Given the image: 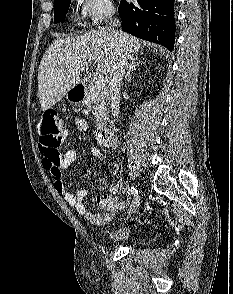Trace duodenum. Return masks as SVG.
<instances>
[{
	"mask_svg": "<svg viewBox=\"0 0 233 294\" xmlns=\"http://www.w3.org/2000/svg\"><path fill=\"white\" fill-rule=\"evenodd\" d=\"M74 95L77 98H82L85 93V86L83 84H78L73 89ZM101 137L103 141L110 147H116L118 140L116 134L109 128H104L101 132Z\"/></svg>",
	"mask_w": 233,
	"mask_h": 294,
	"instance_id": "410a0bca",
	"label": "duodenum"
}]
</instances>
